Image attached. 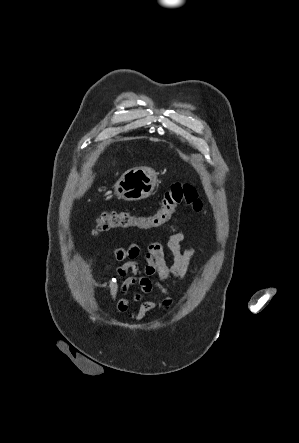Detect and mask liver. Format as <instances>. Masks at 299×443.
<instances>
[{
    "instance_id": "liver-1",
    "label": "liver",
    "mask_w": 299,
    "mask_h": 443,
    "mask_svg": "<svg viewBox=\"0 0 299 443\" xmlns=\"http://www.w3.org/2000/svg\"><path fill=\"white\" fill-rule=\"evenodd\" d=\"M94 180V175L89 174L83 176L79 185V189L77 191L76 197L80 198L84 195V193L91 187Z\"/></svg>"
}]
</instances>
